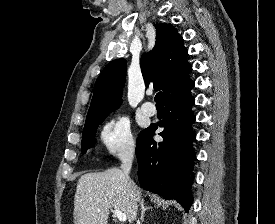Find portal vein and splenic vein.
I'll return each instance as SVG.
<instances>
[{
    "mask_svg": "<svg viewBox=\"0 0 275 224\" xmlns=\"http://www.w3.org/2000/svg\"><path fill=\"white\" fill-rule=\"evenodd\" d=\"M114 216L117 217V219L120 222H125L127 220V217L124 213H122L121 211H119L118 209H114L113 210Z\"/></svg>",
    "mask_w": 275,
    "mask_h": 224,
    "instance_id": "obj_1",
    "label": "portal vein and splenic vein"
}]
</instances>
